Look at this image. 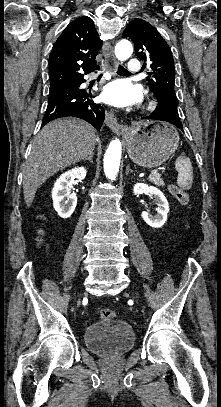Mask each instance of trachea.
I'll return each mask as SVG.
<instances>
[{
  "mask_svg": "<svg viewBox=\"0 0 221 407\" xmlns=\"http://www.w3.org/2000/svg\"><path fill=\"white\" fill-rule=\"evenodd\" d=\"M127 72L128 71L123 66L118 67V74L127 73Z\"/></svg>",
  "mask_w": 221,
  "mask_h": 407,
  "instance_id": "3493384b",
  "label": "trachea"
}]
</instances>
